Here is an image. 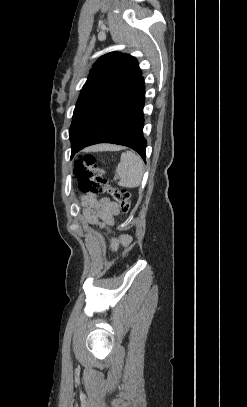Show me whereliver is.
Wrapping results in <instances>:
<instances>
[{"label":"liver","instance_id":"1","mask_svg":"<svg viewBox=\"0 0 247 407\" xmlns=\"http://www.w3.org/2000/svg\"><path fill=\"white\" fill-rule=\"evenodd\" d=\"M113 148H114V146H112V145H101V146L97 147V149H100V150H108V149H113Z\"/></svg>","mask_w":247,"mask_h":407}]
</instances>
